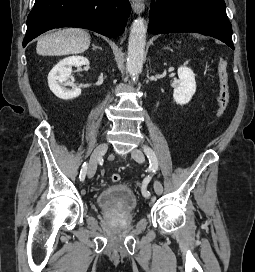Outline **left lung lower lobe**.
<instances>
[{
  "label": "left lung lower lobe",
  "instance_id": "obj_1",
  "mask_svg": "<svg viewBox=\"0 0 255 272\" xmlns=\"http://www.w3.org/2000/svg\"><path fill=\"white\" fill-rule=\"evenodd\" d=\"M148 32H197L234 49L224 0H157L150 5Z\"/></svg>",
  "mask_w": 255,
  "mask_h": 272
}]
</instances>
